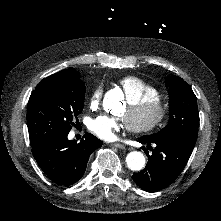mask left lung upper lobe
Returning a JSON list of instances; mask_svg holds the SVG:
<instances>
[{"instance_id":"1","label":"left lung upper lobe","mask_w":221,"mask_h":221,"mask_svg":"<svg viewBox=\"0 0 221 221\" xmlns=\"http://www.w3.org/2000/svg\"><path fill=\"white\" fill-rule=\"evenodd\" d=\"M169 87V123L160 132L147 136H173L194 146L199 127V114L196 96L182 78H166Z\"/></svg>"}]
</instances>
